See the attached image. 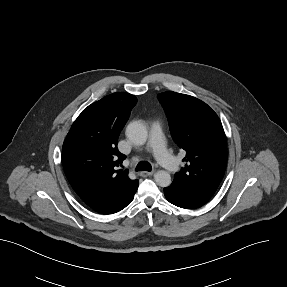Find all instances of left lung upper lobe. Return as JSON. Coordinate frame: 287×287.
I'll list each match as a JSON object with an SVG mask.
<instances>
[{
	"label": "left lung upper lobe",
	"instance_id": "left-lung-upper-lobe-1",
	"mask_svg": "<svg viewBox=\"0 0 287 287\" xmlns=\"http://www.w3.org/2000/svg\"><path fill=\"white\" fill-rule=\"evenodd\" d=\"M168 117L173 140L185 150V167L174 183L185 184L213 196L226 169L227 145L217 114L203 101L185 94L158 95Z\"/></svg>",
	"mask_w": 287,
	"mask_h": 287
}]
</instances>
